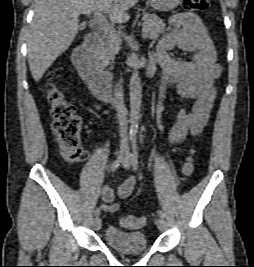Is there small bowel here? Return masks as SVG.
Returning a JSON list of instances; mask_svg holds the SVG:
<instances>
[{"label":"small bowel","mask_w":254,"mask_h":267,"mask_svg":"<svg viewBox=\"0 0 254 267\" xmlns=\"http://www.w3.org/2000/svg\"><path fill=\"white\" fill-rule=\"evenodd\" d=\"M169 24L171 31L157 43L151 58L156 59L163 69L156 112L158 127L162 128L161 113L169 86L175 85L179 96L191 100V108L179 110L170 128L169 142L175 144L187 135L200 134L206 126L216 96L214 82L221 73V67L216 61L213 41L198 15L191 12L177 13L170 17ZM174 47L192 53L191 59L185 61L170 57L168 51ZM135 183L134 176L128 178L119 186L118 197L128 198ZM99 192L105 202L102 205L104 211L114 213L120 209L110 186H101Z\"/></svg>","instance_id":"obj_1"}]
</instances>
